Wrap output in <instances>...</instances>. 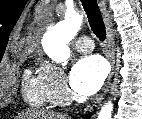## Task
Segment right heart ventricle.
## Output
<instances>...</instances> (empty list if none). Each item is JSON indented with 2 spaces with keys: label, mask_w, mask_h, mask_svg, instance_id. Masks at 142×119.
Here are the masks:
<instances>
[{
  "label": "right heart ventricle",
  "mask_w": 142,
  "mask_h": 119,
  "mask_svg": "<svg viewBox=\"0 0 142 119\" xmlns=\"http://www.w3.org/2000/svg\"><path fill=\"white\" fill-rule=\"evenodd\" d=\"M24 98L34 106H46L51 102L49 87L41 74H25Z\"/></svg>",
  "instance_id": "e07e8e85"
}]
</instances>
